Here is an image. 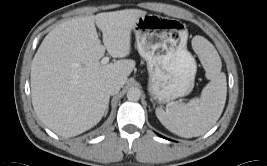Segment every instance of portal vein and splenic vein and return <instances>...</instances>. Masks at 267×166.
Listing matches in <instances>:
<instances>
[{"label":"portal vein and splenic vein","mask_w":267,"mask_h":166,"mask_svg":"<svg viewBox=\"0 0 267 166\" xmlns=\"http://www.w3.org/2000/svg\"><path fill=\"white\" fill-rule=\"evenodd\" d=\"M109 62V57H103L101 60L102 64H107Z\"/></svg>","instance_id":"obj_1"}]
</instances>
